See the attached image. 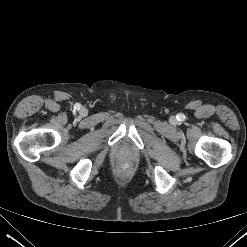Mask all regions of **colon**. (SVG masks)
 <instances>
[{
  "label": "colon",
  "instance_id": "5ec220e1",
  "mask_svg": "<svg viewBox=\"0 0 247 247\" xmlns=\"http://www.w3.org/2000/svg\"><path fill=\"white\" fill-rule=\"evenodd\" d=\"M128 168H129V166H127V165L126 166H123V169L124 170H127Z\"/></svg>",
  "mask_w": 247,
  "mask_h": 247
}]
</instances>
